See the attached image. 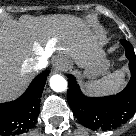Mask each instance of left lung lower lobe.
<instances>
[{
	"instance_id": "1",
	"label": "left lung lower lobe",
	"mask_w": 136,
	"mask_h": 136,
	"mask_svg": "<svg viewBox=\"0 0 136 136\" xmlns=\"http://www.w3.org/2000/svg\"><path fill=\"white\" fill-rule=\"evenodd\" d=\"M129 59L131 79L118 94L105 97H87L82 94L76 80L69 76L67 99L76 118L92 130L117 128L136 111V55L132 45L121 40Z\"/></svg>"
}]
</instances>
